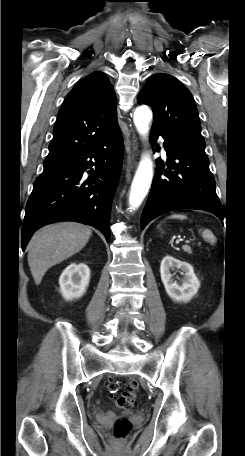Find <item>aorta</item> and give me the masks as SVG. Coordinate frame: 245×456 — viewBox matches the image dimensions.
<instances>
[{
    "mask_svg": "<svg viewBox=\"0 0 245 456\" xmlns=\"http://www.w3.org/2000/svg\"><path fill=\"white\" fill-rule=\"evenodd\" d=\"M134 124L139 134L145 137L148 133L152 111L147 106H139L134 112ZM153 178V163L149 154H144L139 162L131 185L129 204L135 210L140 206L150 188Z\"/></svg>",
    "mask_w": 245,
    "mask_h": 456,
    "instance_id": "aorta-1",
    "label": "aorta"
}]
</instances>
